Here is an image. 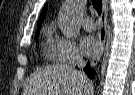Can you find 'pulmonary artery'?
Segmentation results:
<instances>
[{
	"instance_id": "1",
	"label": "pulmonary artery",
	"mask_w": 135,
	"mask_h": 95,
	"mask_svg": "<svg viewBox=\"0 0 135 95\" xmlns=\"http://www.w3.org/2000/svg\"><path fill=\"white\" fill-rule=\"evenodd\" d=\"M83 28L86 31L92 32L96 29L94 19L90 16H87L83 19Z\"/></svg>"
}]
</instances>
